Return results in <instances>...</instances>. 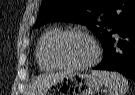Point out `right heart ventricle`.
<instances>
[{"instance_id": "e07e8e85", "label": "right heart ventricle", "mask_w": 135, "mask_h": 95, "mask_svg": "<svg viewBox=\"0 0 135 95\" xmlns=\"http://www.w3.org/2000/svg\"><path fill=\"white\" fill-rule=\"evenodd\" d=\"M60 31L61 30L58 27L50 28L42 34L38 41L36 47V61L42 71H52L58 69V67L50 61L47 49L51 39Z\"/></svg>"}]
</instances>
